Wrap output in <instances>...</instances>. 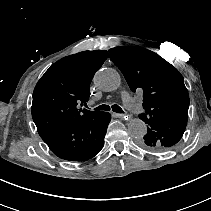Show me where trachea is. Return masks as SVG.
<instances>
[{"mask_svg": "<svg viewBox=\"0 0 211 211\" xmlns=\"http://www.w3.org/2000/svg\"><path fill=\"white\" fill-rule=\"evenodd\" d=\"M110 109H112V111H114L116 113H124L122 108L120 106H118L117 104H114L111 107L109 105L103 104V105H100V106L94 108L95 111H109Z\"/></svg>", "mask_w": 211, "mask_h": 211, "instance_id": "1", "label": "trachea"}]
</instances>
